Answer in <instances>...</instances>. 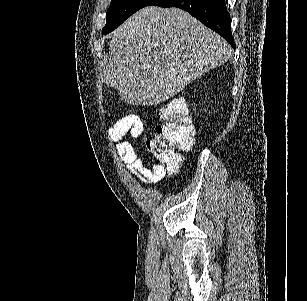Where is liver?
<instances>
[{
    "label": "liver",
    "instance_id": "obj_1",
    "mask_svg": "<svg viewBox=\"0 0 307 301\" xmlns=\"http://www.w3.org/2000/svg\"><path fill=\"white\" fill-rule=\"evenodd\" d=\"M101 78L128 104H159L204 72L221 66L233 48L181 8L145 6L110 34Z\"/></svg>",
    "mask_w": 307,
    "mask_h": 301
}]
</instances>
